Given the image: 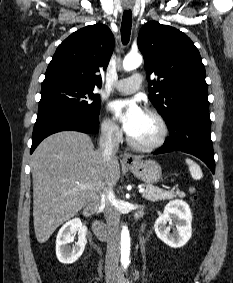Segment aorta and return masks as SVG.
Listing matches in <instances>:
<instances>
[{"label":"aorta","instance_id":"762f6f07","mask_svg":"<svg viewBox=\"0 0 233 283\" xmlns=\"http://www.w3.org/2000/svg\"><path fill=\"white\" fill-rule=\"evenodd\" d=\"M142 64V56L138 53H129L123 60V69L131 71L138 68ZM121 263L124 265L129 264L130 256V234L127 226H123L121 230Z\"/></svg>","mask_w":233,"mask_h":283}]
</instances>
